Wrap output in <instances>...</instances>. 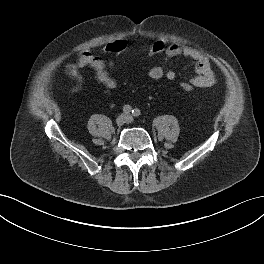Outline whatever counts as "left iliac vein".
<instances>
[{
	"mask_svg": "<svg viewBox=\"0 0 264 264\" xmlns=\"http://www.w3.org/2000/svg\"><path fill=\"white\" fill-rule=\"evenodd\" d=\"M126 122H128V123L133 122V118L131 116L127 115V121Z\"/></svg>",
	"mask_w": 264,
	"mask_h": 264,
	"instance_id": "1",
	"label": "left iliac vein"
}]
</instances>
